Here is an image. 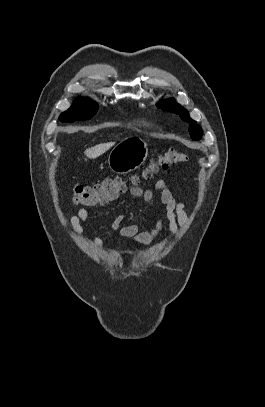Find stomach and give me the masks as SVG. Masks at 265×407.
<instances>
[{"instance_id": "obj_1", "label": "stomach", "mask_w": 265, "mask_h": 407, "mask_svg": "<svg viewBox=\"0 0 265 407\" xmlns=\"http://www.w3.org/2000/svg\"><path fill=\"white\" fill-rule=\"evenodd\" d=\"M148 156L147 143L142 139H127L117 144L109 154V168L118 174L137 169Z\"/></svg>"}]
</instances>
